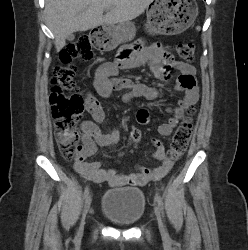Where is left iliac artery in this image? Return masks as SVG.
I'll return each instance as SVG.
<instances>
[{"label": "left iliac artery", "instance_id": "left-iliac-artery-1", "mask_svg": "<svg viewBox=\"0 0 248 250\" xmlns=\"http://www.w3.org/2000/svg\"><path fill=\"white\" fill-rule=\"evenodd\" d=\"M156 201L158 202V205H159V208L160 210L162 211V214H163V201H162V198L159 194H156V197H155ZM165 232L167 234V231L165 229Z\"/></svg>", "mask_w": 248, "mask_h": 250}]
</instances>
